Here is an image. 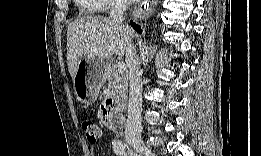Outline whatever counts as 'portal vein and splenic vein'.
<instances>
[{
    "label": "portal vein and splenic vein",
    "mask_w": 261,
    "mask_h": 156,
    "mask_svg": "<svg viewBox=\"0 0 261 156\" xmlns=\"http://www.w3.org/2000/svg\"><path fill=\"white\" fill-rule=\"evenodd\" d=\"M115 68H116L118 71L122 72V71H125V70H126V65H125V63H123V62H119V63H117V64L115 65Z\"/></svg>",
    "instance_id": "portal-vein-and-splenic-vein-1"
}]
</instances>
